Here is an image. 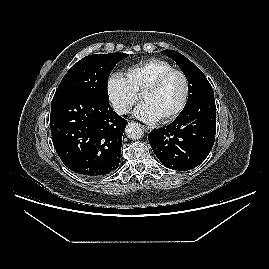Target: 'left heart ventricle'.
Wrapping results in <instances>:
<instances>
[{
    "label": "left heart ventricle",
    "instance_id": "b2bd125f",
    "mask_svg": "<svg viewBox=\"0 0 269 269\" xmlns=\"http://www.w3.org/2000/svg\"><path fill=\"white\" fill-rule=\"evenodd\" d=\"M185 93V84L179 74L170 76L155 92L142 97L161 119L174 111L181 103Z\"/></svg>",
    "mask_w": 269,
    "mask_h": 269
}]
</instances>
